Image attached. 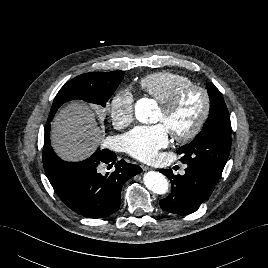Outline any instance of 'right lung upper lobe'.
Here are the masks:
<instances>
[{
    "mask_svg": "<svg viewBox=\"0 0 268 268\" xmlns=\"http://www.w3.org/2000/svg\"><path fill=\"white\" fill-rule=\"evenodd\" d=\"M124 76L122 71L114 72H92L82 74L67 82L58 92L57 100L51 107V111L45 126V138L43 147V159L44 157L49 161L52 166L62 169L64 163L59 161L50 144V121L53 119L57 109L66 101L72 99H82L99 95L102 93L105 84L118 80ZM68 165L64 167L67 169Z\"/></svg>",
    "mask_w": 268,
    "mask_h": 268,
    "instance_id": "1",
    "label": "right lung upper lobe"
}]
</instances>
